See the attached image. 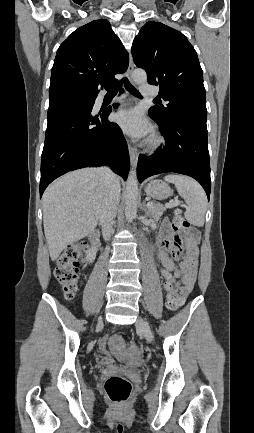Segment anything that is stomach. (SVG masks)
<instances>
[{"mask_svg":"<svg viewBox=\"0 0 254 433\" xmlns=\"http://www.w3.org/2000/svg\"><path fill=\"white\" fill-rule=\"evenodd\" d=\"M146 194L152 198L163 200L171 195L169 185L161 180H152L145 185Z\"/></svg>","mask_w":254,"mask_h":433,"instance_id":"1","label":"stomach"}]
</instances>
